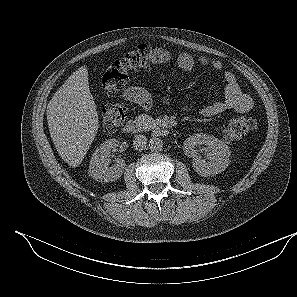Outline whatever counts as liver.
Segmentation results:
<instances>
[{"label":"liver","instance_id":"6515ba94","mask_svg":"<svg viewBox=\"0 0 297 297\" xmlns=\"http://www.w3.org/2000/svg\"><path fill=\"white\" fill-rule=\"evenodd\" d=\"M47 121L60 157L72 167L79 166L99 128L86 66L78 68L53 95L47 105Z\"/></svg>","mask_w":297,"mask_h":297}]
</instances>
